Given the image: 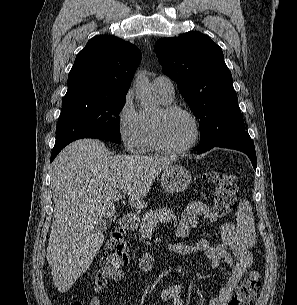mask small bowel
I'll return each instance as SVG.
<instances>
[{"label": "small bowel", "mask_w": 297, "mask_h": 305, "mask_svg": "<svg viewBox=\"0 0 297 305\" xmlns=\"http://www.w3.org/2000/svg\"><path fill=\"white\" fill-rule=\"evenodd\" d=\"M215 221L214 212L202 202H193L185 207L180 215L177 235L186 237L190 231L197 227L199 220ZM221 242L212 245L209 239H201L193 245L174 243L168 244L167 250L171 253L191 255L200 253L212 269L220 267L225 261L231 267V271L224 278L218 294L210 301L209 305H229L233 293L240 281L246 275L252 263V255L247 244L231 222H225L220 228ZM154 264L152 256L143 254L139 259V268L143 272L149 271ZM124 272L118 267L102 269L95 278L94 297L89 305H103V292L109 280L119 282L123 279ZM162 300L170 305H183L182 286L172 284L160 291Z\"/></svg>", "instance_id": "obj_1"}]
</instances>
